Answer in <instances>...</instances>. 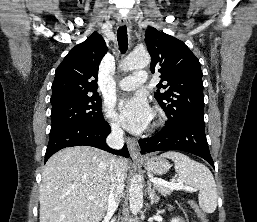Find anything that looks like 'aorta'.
I'll return each instance as SVG.
<instances>
[{
    "label": "aorta",
    "mask_w": 257,
    "mask_h": 222,
    "mask_svg": "<svg viewBox=\"0 0 257 222\" xmlns=\"http://www.w3.org/2000/svg\"><path fill=\"white\" fill-rule=\"evenodd\" d=\"M150 55L146 51H134L128 55L120 64L124 71L142 69L149 65ZM130 210L137 214L143 206V186L140 176L136 175L131 179L129 188Z\"/></svg>",
    "instance_id": "obj_1"
}]
</instances>
